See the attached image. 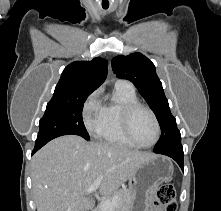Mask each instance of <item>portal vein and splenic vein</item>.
Segmentation results:
<instances>
[{"label":"portal vein and splenic vein","instance_id":"portal-vein-and-splenic-vein-1","mask_svg":"<svg viewBox=\"0 0 221 211\" xmlns=\"http://www.w3.org/2000/svg\"><path fill=\"white\" fill-rule=\"evenodd\" d=\"M103 176L98 177L95 182L87 189L86 193L90 194L95 191L101 184ZM119 197L115 195L112 199H105L100 202L99 206L103 211H114L115 206L118 204Z\"/></svg>","mask_w":221,"mask_h":211}]
</instances>
